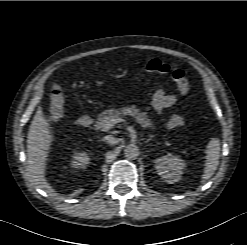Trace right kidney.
Listing matches in <instances>:
<instances>
[{
    "label": "right kidney",
    "instance_id": "ca27d5eb",
    "mask_svg": "<svg viewBox=\"0 0 247 245\" xmlns=\"http://www.w3.org/2000/svg\"><path fill=\"white\" fill-rule=\"evenodd\" d=\"M90 158L86 152H78L73 155L71 165L74 168H84L89 164Z\"/></svg>",
    "mask_w": 247,
    "mask_h": 245
}]
</instances>
